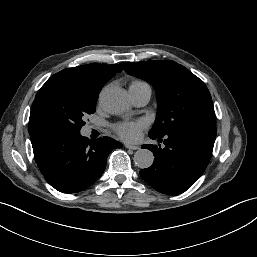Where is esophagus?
Here are the masks:
<instances>
[{
    "mask_svg": "<svg viewBox=\"0 0 257 257\" xmlns=\"http://www.w3.org/2000/svg\"><path fill=\"white\" fill-rule=\"evenodd\" d=\"M125 147L127 149H131V150H138L139 149V146H137V145L125 144Z\"/></svg>",
    "mask_w": 257,
    "mask_h": 257,
    "instance_id": "34e87169",
    "label": "esophagus"
}]
</instances>
